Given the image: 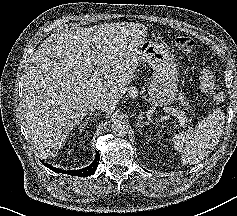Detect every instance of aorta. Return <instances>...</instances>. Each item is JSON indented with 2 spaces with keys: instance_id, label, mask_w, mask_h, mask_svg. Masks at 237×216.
Masks as SVG:
<instances>
[{
  "instance_id": "aorta-1",
  "label": "aorta",
  "mask_w": 237,
  "mask_h": 216,
  "mask_svg": "<svg viewBox=\"0 0 237 216\" xmlns=\"http://www.w3.org/2000/svg\"><path fill=\"white\" fill-rule=\"evenodd\" d=\"M112 132L116 136H123L127 133L128 126L122 118H115L112 125Z\"/></svg>"
}]
</instances>
